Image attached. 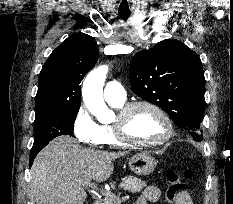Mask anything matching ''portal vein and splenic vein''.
I'll return each mask as SVG.
<instances>
[{
  "instance_id": "1",
  "label": "portal vein and splenic vein",
  "mask_w": 233,
  "mask_h": 204,
  "mask_svg": "<svg viewBox=\"0 0 233 204\" xmlns=\"http://www.w3.org/2000/svg\"><path fill=\"white\" fill-rule=\"evenodd\" d=\"M86 186L89 187V188H91V189H93V190L97 189V185L95 183H88ZM100 193L102 195H104V196H109V197H111V195L113 194L111 191H107V190L106 191L101 190ZM128 199H129L128 195L122 197L121 199L118 198L119 202L126 201Z\"/></svg>"
}]
</instances>
